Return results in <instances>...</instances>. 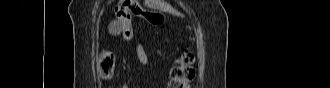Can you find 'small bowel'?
I'll list each match as a JSON object with an SVG mask.
<instances>
[{"instance_id":"c3829d8e","label":"small bowel","mask_w":330,"mask_h":88,"mask_svg":"<svg viewBox=\"0 0 330 88\" xmlns=\"http://www.w3.org/2000/svg\"><path fill=\"white\" fill-rule=\"evenodd\" d=\"M135 55L137 60L144 66L150 65V59L141 43H137L135 46Z\"/></svg>"}]
</instances>
